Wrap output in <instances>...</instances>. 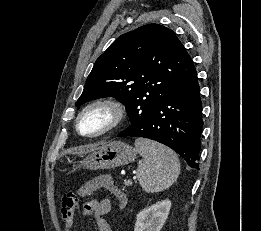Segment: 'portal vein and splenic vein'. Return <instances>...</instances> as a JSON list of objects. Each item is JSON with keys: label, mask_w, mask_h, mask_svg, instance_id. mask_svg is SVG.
I'll return each instance as SVG.
<instances>
[{"label": "portal vein and splenic vein", "mask_w": 261, "mask_h": 231, "mask_svg": "<svg viewBox=\"0 0 261 231\" xmlns=\"http://www.w3.org/2000/svg\"><path fill=\"white\" fill-rule=\"evenodd\" d=\"M127 184H131L132 182H131V180H127V182H126Z\"/></svg>", "instance_id": "18ae733b"}]
</instances>
